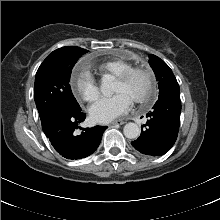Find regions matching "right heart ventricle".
I'll use <instances>...</instances> for the list:
<instances>
[{"label":"right heart ventricle","mask_w":220,"mask_h":220,"mask_svg":"<svg viewBox=\"0 0 220 220\" xmlns=\"http://www.w3.org/2000/svg\"><path fill=\"white\" fill-rule=\"evenodd\" d=\"M132 67L130 61L124 59H113L101 63L97 70L101 76H113L118 78L122 73Z\"/></svg>","instance_id":"right-heart-ventricle-1"}]
</instances>
